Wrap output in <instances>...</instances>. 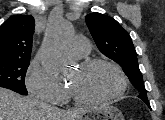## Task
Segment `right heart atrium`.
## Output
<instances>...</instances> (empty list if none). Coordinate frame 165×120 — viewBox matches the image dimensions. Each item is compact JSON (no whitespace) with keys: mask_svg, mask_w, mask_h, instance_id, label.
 Here are the masks:
<instances>
[{"mask_svg":"<svg viewBox=\"0 0 165 120\" xmlns=\"http://www.w3.org/2000/svg\"><path fill=\"white\" fill-rule=\"evenodd\" d=\"M26 86L33 97L45 102L61 104L68 97L67 88L38 61H33L28 69Z\"/></svg>","mask_w":165,"mask_h":120,"instance_id":"d8ad5b80","label":"right heart atrium"}]
</instances>
